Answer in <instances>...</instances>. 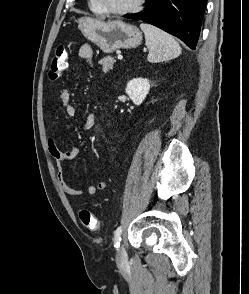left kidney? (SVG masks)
Returning <instances> with one entry per match:
<instances>
[{
    "label": "left kidney",
    "instance_id": "5707ae66",
    "mask_svg": "<svg viewBox=\"0 0 249 294\" xmlns=\"http://www.w3.org/2000/svg\"><path fill=\"white\" fill-rule=\"evenodd\" d=\"M150 90V82L146 78H134L130 80L125 89L126 94L137 106L141 105Z\"/></svg>",
    "mask_w": 249,
    "mask_h": 294
}]
</instances>
